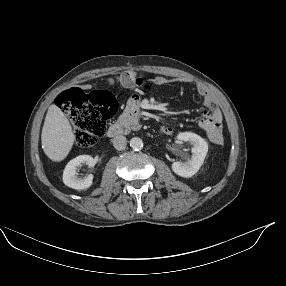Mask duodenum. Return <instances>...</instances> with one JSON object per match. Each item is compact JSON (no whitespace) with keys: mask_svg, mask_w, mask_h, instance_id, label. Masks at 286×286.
Masks as SVG:
<instances>
[{"mask_svg":"<svg viewBox=\"0 0 286 286\" xmlns=\"http://www.w3.org/2000/svg\"><path fill=\"white\" fill-rule=\"evenodd\" d=\"M137 127V120L135 117H131L128 120H122L116 123H113L107 129V136L109 138L118 137L120 135L127 134L131 129Z\"/></svg>","mask_w":286,"mask_h":286,"instance_id":"obj_1","label":"duodenum"}]
</instances>
